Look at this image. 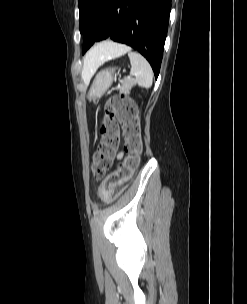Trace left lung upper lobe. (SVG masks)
Returning a JSON list of instances; mask_svg holds the SVG:
<instances>
[{
	"mask_svg": "<svg viewBox=\"0 0 247 304\" xmlns=\"http://www.w3.org/2000/svg\"><path fill=\"white\" fill-rule=\"evenodd\" d=\"M105 1L106 0H78L81 33L87 25L98 19Z\"/></svg>",
	"mask_w": 247,
	"mask_h": 304,
	"instance_id": "1",
	"label": "left lung upper lobe"
}]
</instances>
